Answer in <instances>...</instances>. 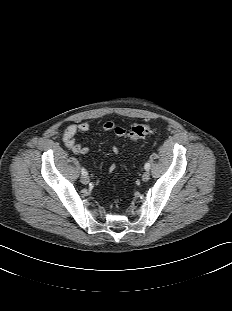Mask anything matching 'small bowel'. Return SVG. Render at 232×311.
Returning a JSON list of instances; mask_svg holds the SVG:
<instances>
[{"label":"small bowel","instance_id":"small-bowel-1","mask_svg":"<svg viewBox=\"0 0 232 311\" xmlns=\"http://www.w3.org/2000/svg\"><path fill=\"white\" fill-rule=\"evenodd\" d=\"M90 129V123L89 122H82L79 124H70L65 129L62 140L65 146L71 150L75 154L80 155H86L88 153V148L86 146H83L82 144L78 143L76 141V136L80 133H85ZM103 132L109 133L113 132L116 136H124L125 135V129L115 125L114 122L108 121L106 122L102 127ZM112 152L114 154L118 153V149L114 147L112 149ZM114 167H111L113 169Z\"/></svg>","mask_w":232,"mask_h":311}]
</instances>
